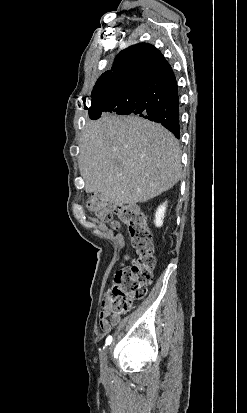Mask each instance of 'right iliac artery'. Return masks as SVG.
<instances>
[{
    "label": "right iliac artery",
    "mask_w": 247,
    "mask_h": 413,
    "mask_svg": "<svg viewBox=\"0 0 247 413\" xmlns=\"http://www.w3.org/2000/svg\"><path fill=\"white\" fill-rule=\"evenodd\" d=\"M111 342H112V336H108L107 338H106V346H108V345H110L111 344Z\"/></svg>",
    "instance_id": "1"
}]
</instances>
